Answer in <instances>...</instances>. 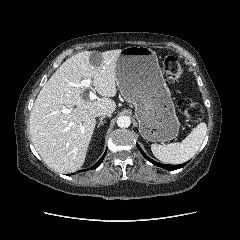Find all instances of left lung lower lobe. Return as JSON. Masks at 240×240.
<instances>
[{"label":"left lung lower lobe","instance_id":"left-lung-lower-lobe-1","mask_svg":"<svg viewBox=\"0 0 240 240\" xmlns=\"http://www.w3.org/2000/svg\"><path fill=\"white\" fill-rule=\"evenodd\" d=\"M138 146V149L140 150V152L142 153V155L147 159L149 160L151 163H153L154 165L156 166H159V167H162L164 169H167V170H176V169H179V168H182L185 164H182V165H163V164H160V163H157L156 161H153L151 158H149L143 151L142 149L140 148V146L137 144Z\"/></svg>","mask_w":240,"mask_h":240}]
</instances>
